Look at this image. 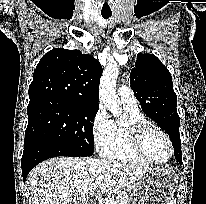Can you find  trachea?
<instances>
[{
  "instance_id": "1",
  "label": "trachea",
  "mask_w": 206,
  "mask_h": 204,
  "mask_svg": "<svg viewBox=\"0 0 206 204\" xmlns=\"http://www.w3.org/2000/svg\"><path fill=\"white\" fill-rule=\"evenodd\" d=\"M102 17L104 19H109L111 17V13H102Z\"/></svg>"
}]
</instances>
